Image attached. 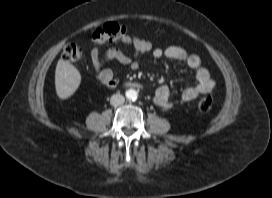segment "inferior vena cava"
Wrapping results in <instances>:
<instances>
[{
  "instance_id": "1",
  "label": "inferior vena cava",
  "mask_w": 272,
  "mask_h": 198,
  "mask_svg": "<svg viewBox=\"0 0 272 198\" xmlns=\"http://www.w3.org/2000/svg\"><path fill=\"white\" fill-rule=\"evenodd\" d=\"M125 102V98L121 94H114L111 96L110 104L112 106H119L122 105Z\"/></svg>"
}]
</instances>
